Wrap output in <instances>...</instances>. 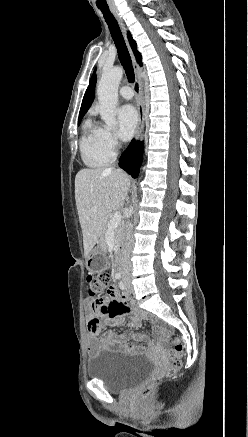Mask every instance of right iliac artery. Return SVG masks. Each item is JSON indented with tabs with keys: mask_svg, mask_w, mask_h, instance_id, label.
<instances>
[{
	"mask_svg": "<svg viewBox=\"0 0 248 437\" xmlns=\"http://www.w3.org/2000/svg\"><path fill=\"white\" fill-rule=\"evenodd\" d=\"M120 277H121V274L120 273H116L115 278L116 279H120Z\"/></svg>",
	"mask_w": 248,
	"mask_h": 437,
	"instance_id": "1",
	"label": "right iliac artery"
}]
</instances>
